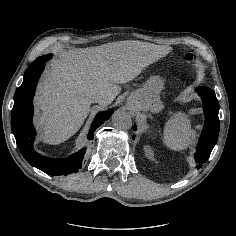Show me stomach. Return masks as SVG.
Segmentation results:
<instances>
[{
    "mask_svg": "<svg viewBox=\"0 0 236 236\" xmlns=\"http://www.w3.org/2000/svg\"><path fill=\"white\" fill-rule=\"evenodd\" d=\"M163 88L164 80L160 76H152L142 88L131 94L129 102L139 105L144 111L158 112L163 107L160 100Z\"/></svg>",
    "mask_w": 236,
    "mask_h": 236,
    "instance_id": "0dacf381",
    "label": "stomach"
}]
</instances>
